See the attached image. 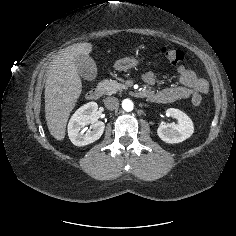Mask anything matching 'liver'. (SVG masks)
I'll use <instances>...</instances> for the list:
<instances>
[{"label": "liver", "instance_id": "1", "mask_svg": "<svg viewBox=\"0 0 236 236\" xmlns=\"http://www.w3.org/2000/svg\"><path fill=\"white\" fill-rule=\"evenodd\" d=\"M92 52L91 43H77L61 50L48 66L45 83V118L50 134L62 141L70 112L82 92L75 62Z\"/></svg>", "mask_w": 236, "mask_h": 236}]
</instances>
